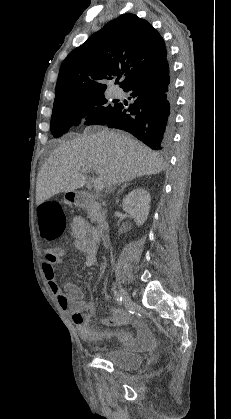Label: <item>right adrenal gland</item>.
Returning <instances> with one entry per match:
<instances>
[{"mask_svg":"<svg viewBox=\"0 0 231 419\" xmlns=\"http://www.w3.org/2000/svg\"><path fill=\"white\" fill-rule=\"evenodd\" d=\"M130 183H125L122 187H121V189L118 191V195L124 190V188L125 187H127L128 185H129Z\"/></svg>","mask_w":231,"mask_h":419,"instance_id":"1","label":"right adrenal gland"}]
</instances>
